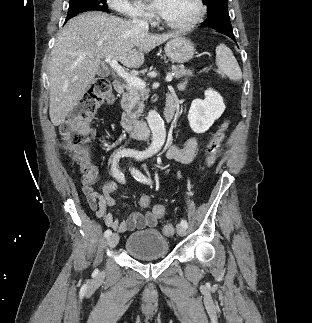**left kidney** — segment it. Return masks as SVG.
<instances>
[{"mask_svg": "<svg viewBox=\"0 0 312 323\" xmlns=\"http://www.w3.org/2000/svg\"><path fill=\"white\" fill-rule=\"evenodd\" d=\"M223 98L214 90H206L205 100H193L188 114L189 126L196 134H204L222 116Z\"/></svg>", "mask_w": 312, "mask_h": 323, "instance_id": "1", "label": "left kidney"}]
</instances>
